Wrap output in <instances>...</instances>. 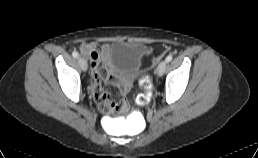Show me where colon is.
I'll return each instance as SVG.
<instances>
[{
  "mask_svg": "<svg viewBox=\"0 0 258 158\" xmlns=\"http://www.w3.org/2000/svg\"><path fill=\"white\" fill-rule=\"evenodd\" d=\"M140 86L143 91L137 96V103L140 105H145L149 102V90H150V82L147 79H143L140 82ZM127 104L124 101L119 102H107L102 110L109 113L114 110H123L126 109Z\"/></svg>",
  "mask_w": 258,
  "mask_h": 158,
  "instance_id": "obj_1",
  "label": "colon"
}]
</instances>
